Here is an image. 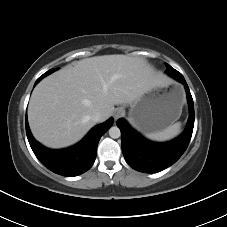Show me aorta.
Returning a JSON list of instances; mask_svg holds the SVG:
<instances>
[{"label":"aorta","instance_id":"obj_1","mask_svg":"<svg viewBox=\"0 0 227 227\" xmlns=\"http://www.w3.org/2000/svg\"><path fill=\"white\" fill-rule=\"evenodd\" d=\"M109 136L113 139H117L121 136L120 129L117 126H113L109 129Z\"/></svg>","mask_w":227,"mask_h":227}]
</instances>
